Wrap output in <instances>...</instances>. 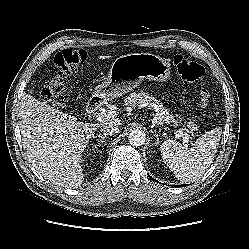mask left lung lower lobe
<instances>
[{"label": "left lung lower lobe", "mask_w": 249, "mask_h": 249, "mask_svg": "<svg viewBox=\"0 0 249 249\" xmlns=\"http://www.w3.org/2000/svg\"><path fill=\"white\" fill-rule=\"evenodd\" d=\"M150 177V176H149ZM152 180H153V178L152 177H150ZM176 186V185H175ZM184 185H180L179 187H183Z\"/></svg>", "instance_id": "0a47b994"}]
</instances>
